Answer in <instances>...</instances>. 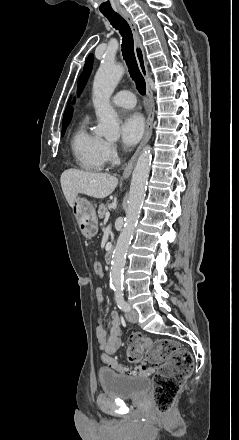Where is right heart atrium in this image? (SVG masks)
<instances>
[{"instance_id": "1", "label": "right heart atrium", "mask_w": 239, "mask_h": 440, "mask_svg": "<svg viewBox=\"0 0 239 440\" xmlns=\"http://www.w3.org/2000/svg\"><path fill=\"white\" fill-rule=\"evenodd\" d=\"M102 151L106 162H111L115 156V146L113 143L108 141H103Z\"/></svg>"}]
</instances>
